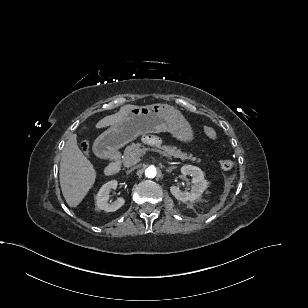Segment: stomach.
<instances>
[{
    "instance_id": "1",
    "label": "stomach",
    "mask_w": 308,
    "mask_h": 308,
    "mask_svg": "<svg viewBox=\"0 0 308 308\" xmlns=\"http://www.w3.org/2000/svg\"><path fill=\"white\" fill-rule=\"evenodd\" d=\"M169 132L181 142L194 139L191 125L182 113L168 104L137 106L118 123L110 126L95 141L94 148L107 153L123 147L139 135Z\"/></svg>"
}]
</instances>
